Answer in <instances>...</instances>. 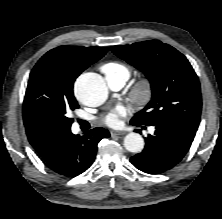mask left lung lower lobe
<instances>
[{
  "label": "left lung lower lobe",
  "instance_id": "1",
  "mask_svg": "<svg viewBox=\"0 0 222 219\" xmlns=\"http://www.w3.org/2000/svg\"><path fill=\"white\" fill-rule=\"evenodd\" d=\"M154 126L155 134L148 135L144 150L130 158L137 169L148 174H159L173 168L187 153L196 134L195 130L172 121Z\"/></svg>",
  "mask_w": 222,
  "mask_h": 219
}]
</instances>
